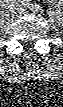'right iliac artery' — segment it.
Returning <instances> with one entry per match:
<instances>
[{
    "label": "right iliac artery",
    "instance_id": "82829eb1",
    "mask_svg": "<svg viewBox=\"0 0 63 107\" xmlns=\"http://www.w3.org/2000/svg\"><path fill=\"white\" fill-rule=\"evenodd\" d=\"M14 3L15 2H12V0H7V4L9 5V6H14ZM17 4V3H16ZM19 4H17V6H18Z\"/></svg>",
    "mask_w": 63,
    "mask_h": 107
}]
</instances>
